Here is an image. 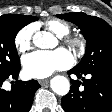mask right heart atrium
I'll list each match as a JSON object with an SVG mask.
<instances>
[{
	"label": "right heart atrium",
	"instance_id": "d8ad5b80",
	"mask_svg": "<svg viewBox=\"0 0 112 112\" xmlns=\"http://www.w3.org/2000/svg\"><path fill=\"white\" fill-rule=\"evenodd\" d=\"M34 26L27 25L21 28L15 35L14 44L20 53L27 52L32 46Z\"/></svg>",
	"mask_w": 112,
	"mask_h": 112
}]
</instances>
